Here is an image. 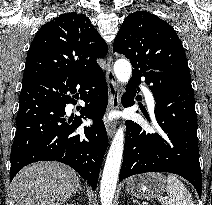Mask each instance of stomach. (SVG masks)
<instances>
[{
  "label": "stomach",
  "instance_id": "1",
  "mask_svg": "<svg viewBox=\"0 0 212 205\" xmlns=\"http://www.w3.org/2000/svg\"><path fill=\"white\" fill-rule=\"evenodd\" d=\"M166 181L161 177L137 176L126 183V191L136 199L157 198L166 190Z\"/></svg>",
  "mask_w": 212,
  "mask_h": 205
}]
</instances>
